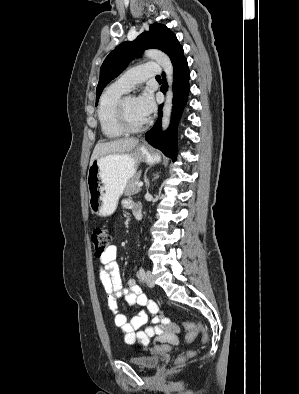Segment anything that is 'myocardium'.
<instances>
[{"mask_svg": "<svg viewBox=\"0 0 299 394\" xmlns=\"http://www.w3.org/2000/svg\"><path fill=\"white\" fill-rule=\"evenodd\" d=\"M132 96L130 95H123L119 101L117 102L116 108H115V119L118 127L124 132V133H137L142 131L148 124V121L146 120L144 123L138 126H132L128 123L126 114H125V103L128 98Z\"/></svg>", "mask_w": 299, "mask_h": 394, "instance_id": "myocardium-1", "label": "myocardium"}]
</instances>
